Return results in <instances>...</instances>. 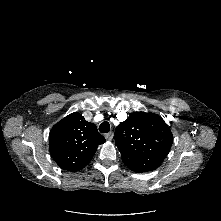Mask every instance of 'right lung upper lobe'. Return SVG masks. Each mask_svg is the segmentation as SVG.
<instances>
[{"instance_id": "1", "label": "right lung upper lobe", "mask_w": 221, "mask_h": 221, "mask_svg": "<svg viewBox=\"0 0 221 221\" xmlns=\"http://www.w3.org/2000/svg\"><path fill=\"white\" fill-rule=\"evenodd\" d=\"M104 142L96 125L77 112L59 121L49 134L51 156L59 167L71 172L83 169Z\"/></svg>"}]
</instances>
